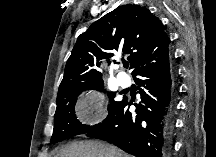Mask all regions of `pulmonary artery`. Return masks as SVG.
Here are the masks:
<instances>
[{"mask_svg": "<svg viewBox=\"0 0 216 157\" xmlns=\"http://www.w3.org/2000/svg\"><path fill=\"white\" fill-rule=\"evenodd\" d=\"M117 81L122 87H128L131 82L129 76L124 73L117 74Z\"/></svg>", "mask_w": 216, "mask_h": 157, "instance_id": "1", "label": "pulmonary artery"}]
</instances>
